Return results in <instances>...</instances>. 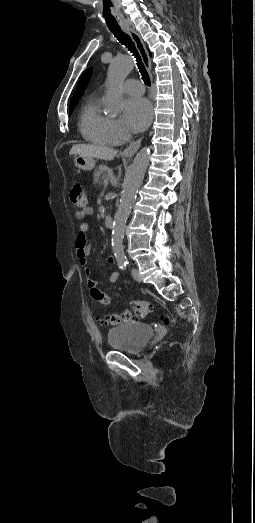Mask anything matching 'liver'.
I'll return each instance as SVG.
<instances>
[{
  "mask_svg": "<svg viewBox=\"0 0 255 523\" xmlns=\"http://www.w3.org/2000/svg\"><path fill=\"white\" fill-rule=\"evenodd\" d=\"M70 156L78 154L83 158H98V160H114L117 152L111 148H99V146H89V144H77L72 146Z\"/></svg>",
  "mask_w": 255,
  "mask_h": 523,
  "instance_id": "obj_1",
  "label": "liver"
}]
</instances>
